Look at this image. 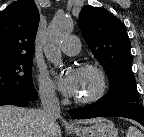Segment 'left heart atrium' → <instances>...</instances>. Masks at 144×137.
Returning a JSON list of instances; mask_svg holds the SVG:
<instances>
[{
	"label": "left heart atrium",
	"mask_w": 144,
	"mask_h": 137,
	"mask_svg": "<svg viewBox=\"0 0 144 137\" xmlns=\"http://www.w3.org/2000/svg\"><path fill=\"white\" fill-rule=\"evenodd\" d=\"M59 87L66 96H76L79 87V74L75 69L68 70L59 77Z\"/></svg>",
	"instance_id": "39dd6f15"
}]
</instances>
